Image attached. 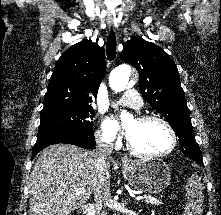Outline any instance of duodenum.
Listing matches in <instances>:
<instances>
[{
	"label": "duodenum",
	"mask_w": 221,
	"mask_h": 215,
	"mask_svg": "<svg viewBox=\"0 0 221 215\" xmlns=\"http://www.w3.org/2000/svg\"><path fill=\"white\" fill-rule=\"evenodd\" d=\"M94 213V207L91 204H88L85 208H84V215H93Z\"/></svg>",
	"instance_id": "410a0bca"
}]
</instances>
